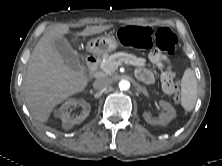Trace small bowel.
<instances>
[{"instance_id": "small-bowel-1", "label": "small bowel", "mask_w": 222, "mask_h": 166, "mask_svg": "<svg viewBox=\"0 0 222 166\" xmlns=\"http://www.w3.org/2000/svg\"><path fill=\"white\" fill-rule=\"evenodd\" d=\"M150 59L152 62H154L157 66H159L160 68L163 69L164 74L166 73H171V68L166 60V58L164 57V55L159 52V51H153L150 55ZM136 75L137 77L146 82V83H151L153 80H154V75L153 73L150 71V70H147V69H139L137 72H136ZM162 75V76H163ZM164 88V87H163ZM164 91L168 94H171L173 93L171 89H167V88H164Z\"/></svg>"}]
</instances>
